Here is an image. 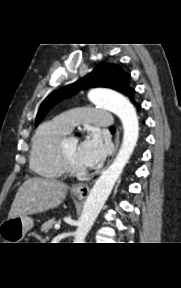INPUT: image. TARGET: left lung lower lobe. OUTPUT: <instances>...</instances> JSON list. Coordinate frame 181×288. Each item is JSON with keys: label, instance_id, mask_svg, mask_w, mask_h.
<instances>
[{"label": "left lung lower lobe", "instance_id": "obj_1", "mask_svg": "<svg viewBox=\"0 0 181 288\" xmlns=\"http://www.w3.org/2000/svg\"><path fill=\"white\" fill-rule=\"evenodd\" d=\"M131 101L137 106L138 110L141 108V105L137 104L134 99H133V96L130 98Z\"/></svg>", "mask_w": 181, "mask_h": 288}]
</instances>
